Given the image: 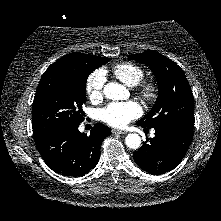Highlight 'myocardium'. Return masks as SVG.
<instances>
[{
    "instance_id": "myocardium-1",
    "label": "myocardium",
    "mask_w": 221,
    "mask_h": 221,
    "mask_svg": "<svg viewBox=\"0 0 221 221\" xmlns=\"http://www.w3.org/2000/svg\"><path fill=\"white\" fill-rule=\"evenodd\" d=\"M139 96L148 103L153 102L158 95V88L153 81H142L137 84Z\"/></svg>"
}]
</instances>
